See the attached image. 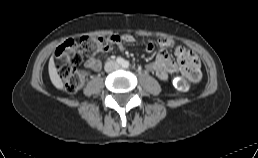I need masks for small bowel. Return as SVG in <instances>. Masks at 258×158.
<instances>
[{
	"instance_id": "obj_1",
	"label": "small bowel",
	"mask_w": 258,
	"mask_h": 158,
	"mask_svg": "<svg viewBox=\"0 0 258 158\" xmlns=\"http://www.w3.org/2000/svg\"><path fill=\"white\" fill-rule=\"evenodd\" d=\"M120 39L121 47H123L122 42L132 43L134 41L132 35H124ZM145 47L148 52H158L156 59L147 64L146 69L159 80L166 81L171 74L177 73L184 74L191 81H198L201 78L200 61L197 55L183 46L176 45L173 39L162 38L156 42L146 43ZM169 48H174L177 61L172 60L166 53ZM85 66L91 71H98L102 67V62L99 59L89 58Z\"/></svg>"
}]
</instances>
